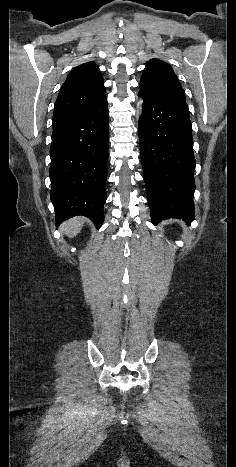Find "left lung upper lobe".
I'll list each match as a JSON object with an SVG mask.
<instances>
[{
	"label": "left lung upper lobe",
	"instance_id": "5c2ea615",
	"mask_svg": "<svg viewBox=\"0 0 236 467\" xmlns=\"http://www.w3.org/2000/svg\"><path fill=\"white\" fill-rule=\"evenodd\" d=\"M140 88V91L154 98L185 101V92L171 66L158 59L147 62Z\"/></svg>",
	"mask_w": 236,
	"mask_h": 467
}]
</instances>
